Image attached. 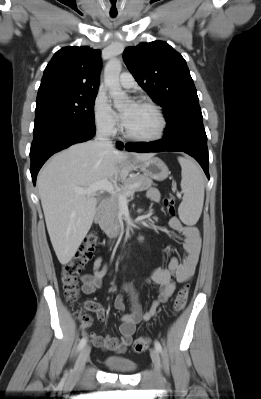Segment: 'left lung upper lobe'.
Returning <instances> with one entry per match:
<instances>
[{"instance_id": "5c2ea615", "label": "left lung upper lobe", "mask_w": 261, "mask_h": 399, "mask_svg": "<svg viewBox=\"0 0 261 399\" xmlns=\"http://www.w3.org/2000/svg\"><path fill=\"white\" fill-rule=\"evenodd\" d=\"M124 61L138 84L164 109V137L203 124L194 82L184 58L163 41L127 47Z\"/></svg>"}]
</instances>
